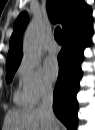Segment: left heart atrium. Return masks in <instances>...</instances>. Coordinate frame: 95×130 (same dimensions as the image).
<instances>
[{
	"instance_id": "left-heart-atrium-1",
	"label": "left heart atrium",
	"mask_w": 95,
	"mask_h": 130,
	"mask_svg": "<svg viewBox=\"0 0 95 130\" xmlns=\"http://www.w3.org/2000/svg\"><path fill=\"white\" fill-rule=\"evenodd\" d=\"M45 71L49 79L55 80L60 71L56 57L50 56L45 60Z\"/></svg>"
}]
</instances>
